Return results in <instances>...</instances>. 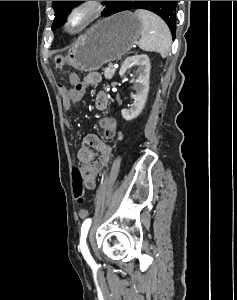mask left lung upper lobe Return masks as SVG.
Segmentation results:
<instances>
[{
    "instance_id": "obj_1",
    "label": "left lung upper lobe",
    "mask_w": 237,
    "mask_h": 300,
    "mask_svg": "<svg viewBox=\"0 0 237 300\" xmlns=\"http://www.w3.org/2000/svg\"><path fill=\"white\" fill-rule=\"evenodd\" d=\"M80 1H52L55 19L52 30L63 24L71 8ZM107 4L104 16L110 15L112 6L118 2L117 12L131 9H146L159 15L168 25L173 34L176 33L177 1H104Z\"/></svg>"
}]
</instances>
